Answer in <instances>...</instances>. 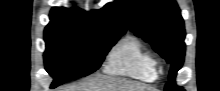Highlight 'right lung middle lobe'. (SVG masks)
I'll use <instances>...</instances> for the list:
<instances>
[{
  "label": "right lung middle lobe",
  "mask_w": 220,
  "mask_h": 91,
  "mask_svg": "<svg viewBox=\"0 0 220 91\" xmlns=\"http://www.w3.org/2000/svg\"><path fill=\"white\" fill-rule=\"evenodd\" d=\"M122 35L82 26L46 27L44 61L54 78L51 88L96 71Z\"/></svg>",
  "instance_id": "obj_1"
}]
</instances>
